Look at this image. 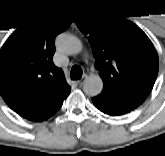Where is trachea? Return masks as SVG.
Listing matches in <instances>:
<instances>
[{
	"instance_id": "trachea-1",
	"label": "trachea",
	"mask_w": 165,
	"mask_h": 156,
	"mask_svg": "<svg viewBox=\"0 0 165 156\" xmlns=\"http://www.w3.org/2000/svg\"><path fill=\"white\" fill-rule=\"evenodd\" d=\"M70 75H71V79L73 80L80 79L82 77L81 67L78 65L73 66Z\"/></svg>"
}]
</instances>
